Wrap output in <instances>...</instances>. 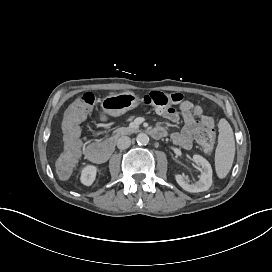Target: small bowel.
Wrapping results in <instances>:
<instances>
[{
    "mask_svg": "<svg viewBox=\"0 0 272 272\" xmlns=\"http://www.w3.org/2000/svg\"><path fill=\"white\" fill-rule=\"evenodd\" d=\"M178 109L177 111L173 108H157V112L172 123H177L180 116L183 118L184 125L182 129L173 132L171 138L176 145L183 149H191L193 147V136L203 129L206 122L214 120L212 117L204 115L201 106L189 100L181 101Z\"/></svg>",
    "mask_w": 272,
    "mask_h": 272,
    "instance_id": "small-bowel-1",
    "label": "small bowel"
}]
</instances>
